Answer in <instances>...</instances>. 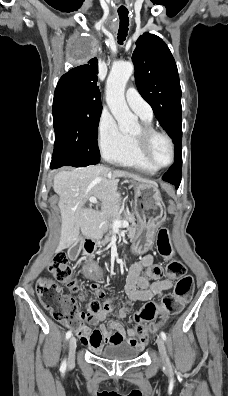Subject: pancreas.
Wrapping results in <instances>:
<instances>
[{
    "mask_svg": "<svg viewBox=\"0 0 228 396\" xmlns=\"http://www.w3.org/2000/svg\"><path fill=\"white\" fill-rule=\"evenodd\" d=\"M116 215L117 214H112V216L114 217L113 219H120V220L127 219L131 223L128 226L127 230L129 231L130 236L133 237L134 233L136 231L135 223L133 222L135 220V217L132 214H124V215H120V216L115 217ZM109 217L110 216H108L107 218L109 219ZM110 227H111V224H110ZM108 232H109L110 235H112L113 234L112 233L113 229L109 228ZM109 234H107L105 236L104 240L101 241V243H100L101 245H108L109 244V240H110Z\"/></svg>",
    "mask_w": 228,
    "mask_h": 396,
    "instance_id": "obj_1",
    "label": "pancreas"
}]
</instances>
